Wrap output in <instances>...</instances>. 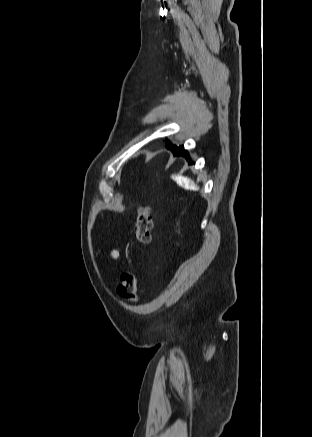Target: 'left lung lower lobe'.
I'll return each instance as SVG.
<instances>
[{
    "instance_id": "left-lung-lower-lobe-1",
    "label": "left lung lower lobe",
    "mask_w": 312,
    "mask_h": 437,
    "mask_svg": "<svg viewBox=\"0 0 312 437\" xmlns=\"http://www.w3.org/2000/svg\"><path fill=\"white\" fill-rule=\"evenodd\" d=\"M166 147L167 149H170L173 152L174 156H184L189 160V154L187 150L184 149L183 146H176L171 144L170 142H167ZM189 162L191 163L190 160Z\"/></svg>"
}]
</instances>
